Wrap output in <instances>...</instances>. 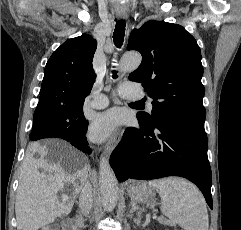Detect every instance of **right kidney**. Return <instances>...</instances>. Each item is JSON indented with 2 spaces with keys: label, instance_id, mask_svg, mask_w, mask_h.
<instances>
[{
  "label": "right kidney",
  "instance_id": "obj_1",
  "mask_svg": "<svg viewBox=\"0 0 241 230\" xmlns=\"http://www.w3.org/2000/svg\"><path fill=\"white\" fill-rule=\"evenodd\" d=\"M42 230H49V228H43Z\"/></svg>",
  "mask_w": 241,
  "mask_h": 230
}]
</instances>
